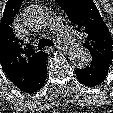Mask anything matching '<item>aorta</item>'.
<instances>
[{"instance_id":"762f6f07","label":"aorta","mask_w":113,"mask_h":113,"mask_svg":"<svg viewBox=\"0 0 113 113\" xmlns=\"http://www.w3.org/2000/svg\"><path fill=\"white\" fill-rule=\"evenodd\" d=\"M71 63L78 68L87 67L91 60L90 52L83 46H73L69 52Z\"/></svg>"}]
</instances>
